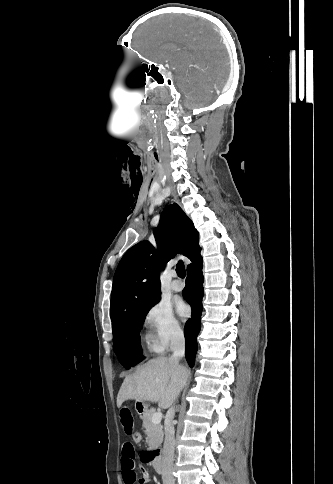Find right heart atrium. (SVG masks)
<instances>
[{
  "mask_svg": "<svg viewBox=\"0 0 333 484\" xmlns=\"http://www.w3.org/2000/svg\"><path fill=\"white\" fill-rule=\"evenodd\" d=\"M144 323L147 328V342L156 351H163L178 341L183 330L172 307L167 302H155L146 312Z\"/></svg>",
  "mask_w": 333,
  "mask_h": 484,
  "instance_id": "obj_1",
  "label": "right heart atrium"
}]
</instances>
